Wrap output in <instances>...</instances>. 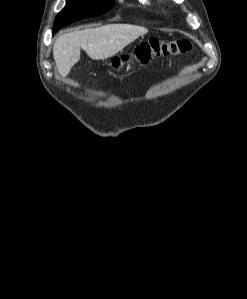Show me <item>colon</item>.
Wrapping results in <instances>:
<instances>
[{"label": "colon", "instance_id": "obj_1", "mask_svg": "<svg viewBox=\"0 0 247 299\" xmlns=\"http://www.w3.org/2000/svg\"><path fill=\"white\" fill-rule=\"evenodd\" d=\"M192 44L187 39L161 41L151 39L138 45L134 51L112 58L111 66L116 69L132 66L136 63L148 64L155 58L167 57L190 51Z\"/></svg>", "mask_w": 247, "mask_h": 299}]
</instances>
